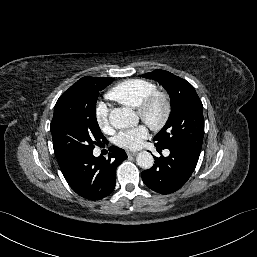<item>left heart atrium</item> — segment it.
Returning <instances> with one entry per match:
<instances>
[{"label":"left heart atrium","mask_w":257,"mask_h":257,"mask_svg":"<svg viewBox=\"0 0 257 257\" xmlns=\"http://www.w3.org/2000/svg\"><path fill=\"white\" fill-rule=\"evenodd\" d=\"M148 134L147 126L141 124L134 128L120 131L115 137V143L126 149H136L141 146L143 140L148 137Z\"/></svg>","instance_id":"39dd6f15"}]
</instances>
